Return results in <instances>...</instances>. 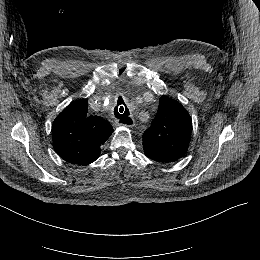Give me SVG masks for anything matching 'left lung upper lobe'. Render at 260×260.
<instances>
[{"label": "left lung upper lobe", "instance_id": "5c2ea615", "mask_svg": "<svg viewBox=\"0 0 260 260\" xmlns=\"http://www.w3.org/2000/svg\"><path fill=\"white\" fill-rule=\"evenodd\" d=\"M192 120L186 109L167 96L159 101L158 112L143 134L146 156L160 163H173L187 152Z\"/></svg>", "mask_w": 260, "mask_h": 260}]
</instances>
